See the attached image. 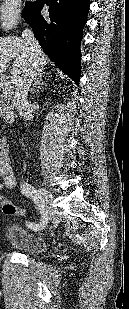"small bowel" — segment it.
<instances>
[{
	"label": "small bowel",
	"mask_w": 129,
	"mask_h": 309,
	"mask_svg": "<svg viewBox=\"0 0 129 309\" xmlns=\"http://www.w3.org/2000/svg\"><path fill=\"white\" fill-rule=\"evenodd\" d=\"M0 176L2 181L0 182V190L4 188H14L16 186V179L10 166L6 151L5 143L0 139ZM2 200V196H0Z\"/></svg>",
	"instance_id": "obj_1"
}]
</instances>
